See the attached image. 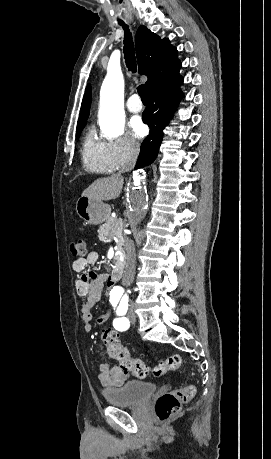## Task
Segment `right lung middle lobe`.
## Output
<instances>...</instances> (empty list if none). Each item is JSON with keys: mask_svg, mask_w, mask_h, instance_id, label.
<instances>
[{"mask_svg": "<svg viewBox=\"0 0 271 459\" xmlns=\"http://www.w3.org/2000/svg\"><path fill=\"white\" fill-rule=\"evenodd\" d=\"M85 121L86 120H82V121H78V125H77V130H76V137L78 138L82 129L84 128L85 126Z\"/></svg>", "mask_w": 271, "mask_h": 459, "instance_id": "obj_1", "label": "right lung middle lobe"}]
</instances>
